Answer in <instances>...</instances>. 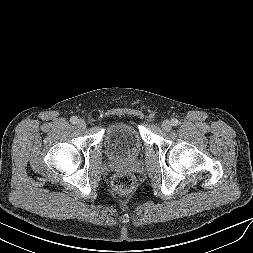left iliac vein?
Returning <instances> with one entry per match:
<instances>
[{"label":"left iliac vein","instance_id":"1","mask_svg":"<svg viewBox=\"0 0 253 253\" xmlns=\"http://www.w3.org/2000/svg\"><path fill=\"white\" fill-rule=\"evenodd\" d=\"M163 131L169 132L172 128V124L169 120H164L161 124Z\"/></svg>","mask_w":253,"mask_h":253}]
</instances>
